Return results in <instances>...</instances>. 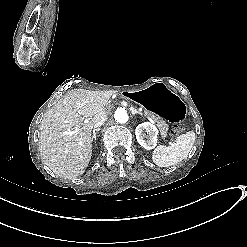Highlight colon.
Segmentation results:
<instances>
[{
    "instance_id": "1",
    "label": "colon",
    "mask_w": 247,
    "mask_h": 247,
    "mask_svg": "<svg viewBox=\"0 0 247 247\" xmlns=\"http://www.w3.org/2000/svg\"><path fill=\"white\" fill-rule=\"evenodd\" d=\"M180 131H181V128L179 127V126H173V128L171 129V131H170V135L172 136V137H175V136H177L179 133H180Z\"/></svg>"
}]
</instances>
